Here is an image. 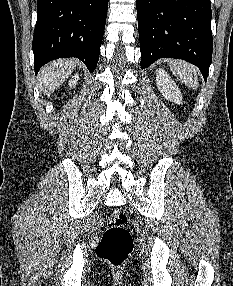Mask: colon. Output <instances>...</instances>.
<instances>
[{"label":"colon","mask_w":233,"mask_h":286,"mask_svg":"<svg viewBox=\"0 0 233 286\" xmlns=\"http://www.w3.org/2000/svg\"><path fill=\"white\" fill-rule=\"evenodd\" d=\"M127 217L119 211H112L106 220V230L96 248L100 260L113 268L122 267L133 250V241L126 227Z\"/></svg>","instance_id":"obj_1"}]
</instances>
